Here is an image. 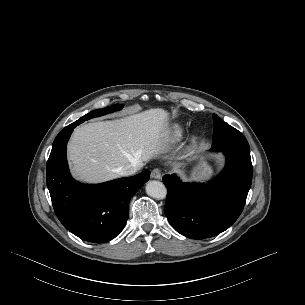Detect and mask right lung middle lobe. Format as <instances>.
I'll list each match as a JSON object with an SVG mask.
<instances>
[{"instance_id": "dd1d6c3e", "label": "right lung middle lobe", "mask_w": 305, "mask_h": 305, "mask_svg": "<svg viewBox=\"0 0 305 305\" xmlns=\"http://www.w3.org/2000/svg\"><path fill=\"white\" fill-rule=\"evenodd\" d=\"M122 107H123V105H121V104H115V105H112L110 107H106V108H103V109H100V110H94V111H91L90 113L84 115L79 120L81 122H84L85 120H89V119L94 118V117L105 115L109 112L120 110Z\"/></svg>"}]
</instances>
